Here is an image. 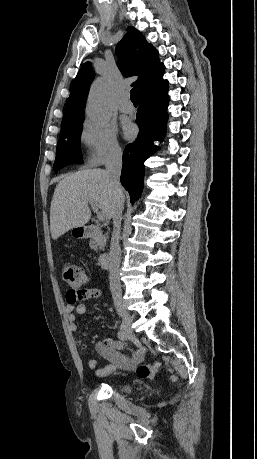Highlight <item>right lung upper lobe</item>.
I'll list each match as a JSON object with an SVG mask.
<instances>
[{
  "label": "right lung upper lobe",
  "instance_id": "1",
  "mask_svg": "<svg viewBox=\"0 0 257 459\" xmlns=\"http://www.w3.org/2000/svg\"><path fill=\"white\" fill-rule=\"evenodd\" d=\"M116 54L122 74L126 77H139L132 84L138 88L139 93L163 76L164 65L159 61L158 52L145 40L142 33L132 26L127 28V34L118 43ZM94 77L91 62L84 63L67 100L60 134L83 122L84 105Z\"/></svg>",
  "mask_w": 257,
  "mask_h": 459
}]
</instances>
